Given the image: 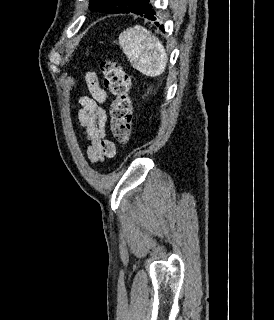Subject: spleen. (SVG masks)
I'll use <instances>...</instances> for the list:
<instances>
[{"instance_id": "obj_1", "label": "spleen", "mask_w": 274, "mask_h": 320, "mask_svg": "<svg viewBox=\"0 0 274 320\" xmlns=\"http://www.w3.org/2000/svg\"><path fill=\"white\" fill-rule=\"evenodd\" d=\"M119 46L132 68L144 76H160L167 66V54L160 40L143 26L127 28L119 36Z\"/></svg>"}]
</instances>
